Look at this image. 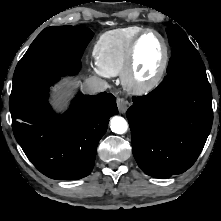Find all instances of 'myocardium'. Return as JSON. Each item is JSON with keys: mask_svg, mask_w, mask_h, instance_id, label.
<instances>
[{"mask_svg": "<svg viewBox=\"0 0 221 221\" xmlns=\"http://www.w3.org/2000/svg\"><path fill=\"white\" fill-rule=\"evenodd\" d=\"M147 34L156 35L163 46V58L161 64L155 73V75L148 81L140 83L134 79V68H135V59H136V51L140 40ZM169 62V46L164 38V36L155 29H144L142 30L136 37L132 40L127 56L124 68L121 73V79L123 86L130 92L135 94H146L155 89L166 72L167 66Z\"/></svg>", "mask_w": 221, "mask_h": 221, "instance_id": "1", "label": "myocardium"}]
</instances>
